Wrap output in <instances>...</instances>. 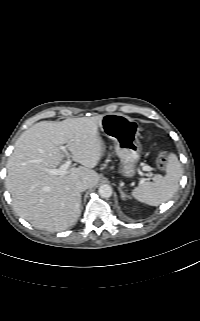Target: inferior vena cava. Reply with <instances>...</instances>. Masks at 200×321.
I'll return each mask as SVG.
<instances>
[{
	"mask_svg": "<svg viewBox=\"0 0 200 321\" xmlns=\"http://www.w3.org/2000/svg\"><path fill=\"white\" fill-rule=\"evenodd\" d=\"M76 188L78 191L83 192L89 188V183L86 180H79L76 183Z\"/></svg>",
	"mask_w": 200,
	"mask_h": 321,
	"instance_id": "1",
	"label": "inferior vena cava"
}]
</instances>
